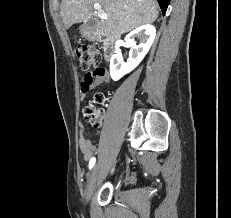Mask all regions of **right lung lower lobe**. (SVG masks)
<instances>
[{"label": "right lung lower lobe", "instance_id": "right-lung-lower-lobe-1", "mask_svg": "<svg viewBox=\"0 0 231 218\" xmlns=\"http://www.w3.org/2000/svg\"><path fill=\"white\" fill-rule=\"evenodd\" d=\"M163 14L166 12L170 0H157Z\"/></svg>", "mask_w": 231, "mask_h": 218}]
</instances>
